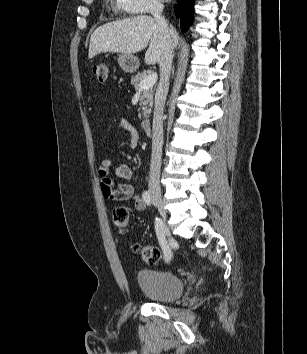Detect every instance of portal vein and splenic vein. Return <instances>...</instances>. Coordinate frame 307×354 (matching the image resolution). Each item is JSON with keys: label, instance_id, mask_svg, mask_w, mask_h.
<instances>
[{"label": "portal vein and splenic vein", "instance_id": "18ae733b", "mask_svg": "<svg viewBox=\"0 0 307 354\" xmlns=\"http://www.w3.org/2000/svg\"><path fill=\"white\" fill-rule=\"evenodd\" d=\"M157 81V74L156 73H152L150 75H148L147 77H145L139 85V91L141 90H146L149 89L151 87H153V85L156 83Z\"/></svg>", "mask_w": 307, "mask_h": 354}]
</instances>
